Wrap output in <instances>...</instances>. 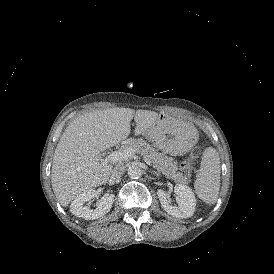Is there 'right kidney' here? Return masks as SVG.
<instances>
[{"instance_id": "ca27d5eb", "label": "right kidney", "mask_w": 274, "mask_h": 274, "mask_svg": "<svg viewBox=\"0 0 274 274\" xmlns=\"http://www.w3.org/2000/svg\"><path fill=\"white\" fill-rule=\"evenodd\" d=\"M96 195L95 190L89 189L79 194L71 203L70 211L77 217H82L85 220H94L104 216L108 213L114 202V195L106 193L96 203V209L92 210L88 206H84V203L90 201Z\"/></svg>"}]
</instances>
